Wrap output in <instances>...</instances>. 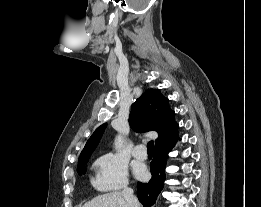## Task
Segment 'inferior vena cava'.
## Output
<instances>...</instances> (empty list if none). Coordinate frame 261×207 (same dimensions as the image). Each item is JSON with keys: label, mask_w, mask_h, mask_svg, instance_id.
<instances>
[{"label": "inferior vena cava", "mask_w": 261, "mask_h": 207, "mask_svg": "<svg viewBox=\"0 0 261 207\" xmlns=\"http://www.w3.org/2000/svg\"><path fill=\"white\" fill-rule=\"evenodd\" d=\"M122 194L125 200L128 202L129 207H140L137 198L133 194V190L127 186H124Z\"/></svg>", "instance_id": "602c4592"}]
</instances>
